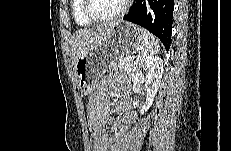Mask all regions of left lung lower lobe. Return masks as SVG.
<instances>
[{"label":"left lung lower lobe","mask_w":231,"mask_h":151,"mask_svg":"<svg viewBox=\"0 0 231 151\" xmlns=\"http://www.w3.org/2000/svg\"><path fill=\"white\" fill-rule=\"evenodd\" d=\"M174 0H134L124 20L138 24L156 35L168 51L171 43Z\"/></svg>","instance_id":"0a47b994"}]
</instances>
